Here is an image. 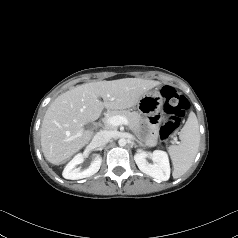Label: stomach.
<instances>
[{
	"instance_id": "1",
	"label": "stomach",
	"mask_w": 238,
	"mask_h": 238,
	"mask_svg": "<svg viewBox=\"0 0 238 238\" xmlns=\"http://www.w3.org/2000/svg\"><path fill=\"white\" fill-rule=\"evenodd\" d=\"M163 105V98L157 91L146 92L138 101L137 109L143 114L150 116L158 113Z\"/></svg>"
}]
</instances>
